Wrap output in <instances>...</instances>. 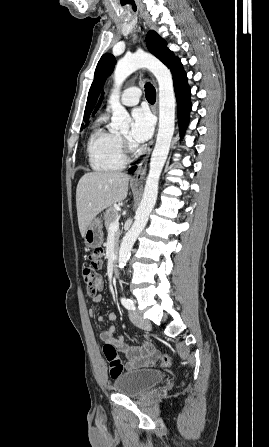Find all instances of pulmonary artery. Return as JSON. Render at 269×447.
<instances>
[{
    "label": "pulmonary artery",
    "mask_w": 269,
    "mask_h": 447,
    "mask_svg": "<svg viewBox=\"0 0 269 447\" xmlns=\"http://www.w3.org/2000/svg\"><path fill=\"white\" fill-rule=\"evenodd\" d=\"M142 96V91L138 87H129L123 91L119 102L125 106H134L139 103Z\"/></svg>",
    "instance_id": "e3ab8cb5"
}]
</instances>
